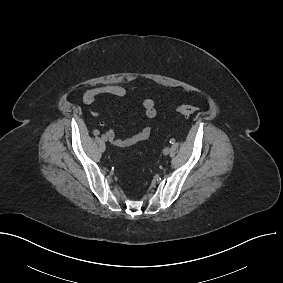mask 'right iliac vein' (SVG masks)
Listing matches in <instances>:
<instances>
[{"mask_svg": "<svg viewBox=\"0 0 283 283\" xmlns=\"http://www.w3.org/2000/svg\"><path fill=\"white\" fill-rule=\"evenodd\" d=\"M102 139H103L104 141H107V140H108V138H107L106 135H105Z\"/></svg>", "mask_w": 283, "mask_h": 283, "instance_id": "63e3f726", "label": "right iliac vein"}]
</instances>
